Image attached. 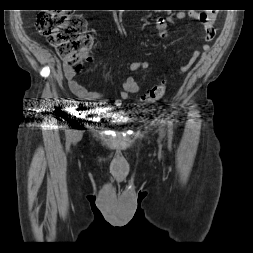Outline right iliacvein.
<instances>
[{"mask_svg": "<svg viewBox=\"0 0 253 253\" xmlns=\"http://www.w3.org/2000/svg\"><path fill=\"white\" fill-rule=\"evenodd\" d=\"M79 137H80L79 133H75V134L73 135L74 140L78 139Z\"/></svg>", "mask_w": 253, "mask_h": 253, "instance_id": "right-iliac-vein-1", "label": "right iliac vein"}]
</instances>
